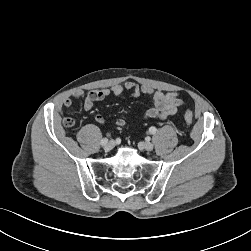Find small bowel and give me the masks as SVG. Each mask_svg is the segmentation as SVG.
Returning a JSON list of instances; mask_svg holds the SVG:
<instances>
[{"label":"small bowel","instance_id":"1","mask_svg":"<svg viewBox=\"0 0 251 251\" xmlns=\"http://www.w3.org/2000/svg\"><path fill=\"white\" fill-rule=\"evenodd\" d=\"M124 92H129L134 97L144 94L152 99V107L145 110L142 114V119L144 120H165L176 114L177 110L184 106V101L179 97L177 92L164 93L149 85H139L134 81L116 84L109 88L92 89L88 91L75 90L70 97L65 99L64 105L69 107L74 100L83 99L84 109L90 111L95 102L102 101L110 96L121 95ZM94 119L99 124L105 123V118L101 113H96ZM116 125L124 127L126 121L120 118L116 121Z\"/></svg>","mask_w":251,"mask_h":251}]
</instances>
